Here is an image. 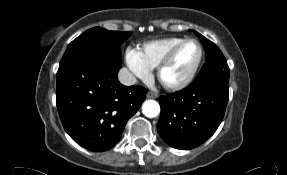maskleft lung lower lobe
<instances>
[{
	"label": "left lung lower lobe",
	"instance_id": "left-lung-lower-lobe-1",
	"mask_svg": "<svg viewBox=\"0 0 287 175\" xmlns=\"http://www.w3.org/2000/svg\"><path fill=\"white\" fill-rule=\"evenodd\" d=\"M228 83L209 81L161 96L157 125L160 137L173 148L193 149L209 139L223 120Z\"/></svg>",
	"mask_w": 287,
	"mask_h": 175
}]
</instances>
